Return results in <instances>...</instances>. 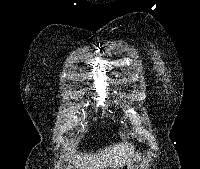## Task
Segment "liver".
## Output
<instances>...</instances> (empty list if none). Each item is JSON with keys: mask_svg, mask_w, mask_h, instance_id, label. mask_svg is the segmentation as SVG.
I'll list each match as a JSON object with an SVG mask.
<instances>
[{"mask_svg": "<svg viewBox=\"0 0 200 169\" xmlns=\"http://www.w3.org/2000/svg\"><path fill=\"white\" fill-rule=\"evenodd\" d=\"M72 159L73 169H118L134 156V146L128 143L113 144L96 153H76L68 155Z\"/></svg>", "mask_w": 200, "mask_h": 169, "instance_id": "1", "label": "liver"}]
</instances>
